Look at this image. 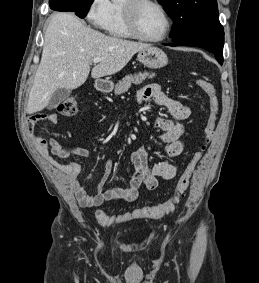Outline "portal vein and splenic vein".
<instances>
[{
  "mask_svg": "<svg viewBox=\"0 0 259 283\" xmlns=\"http://www.w3.org/2000/svg\"><path fill=\"white\" fill-rule=\"evenodd\" d=\"M101 60H102V58L96 57V58L93 59V62L94 63H99Z\"/></svg>",
  "mask_w": 259,
  "mask_h": 283,
  "instance_id": "1",
  "label": "portal vein and splenic vein"
}]
</instances>
